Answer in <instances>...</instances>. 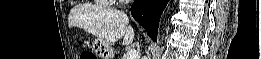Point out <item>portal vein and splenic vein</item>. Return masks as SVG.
<instances>
[{"label": "portal vein and splenic vein", "mask_w": 261, "mask_h": 59, "mask_svg": "<svg viewBox=\"0 0 261 59\" xmlns=\"http://www.w3.org/2000/svg\"><path fill=\"white\" fill-rule=\"evenodd\" d=\"M137 56H138L137 51H136L135 49H131V50L127 53L125 59H136Z\"/></svg>", "instance_id": "18ae733b"}]
</instances>
